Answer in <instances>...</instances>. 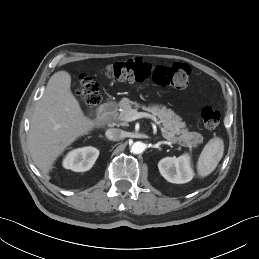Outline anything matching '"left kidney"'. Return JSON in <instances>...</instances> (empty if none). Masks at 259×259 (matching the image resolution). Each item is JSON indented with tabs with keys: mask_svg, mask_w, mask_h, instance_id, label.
<instances>
[{
	"mask_svg": "<svg viewBox=\"0 0 259 259\" xmlns=\"http://www.w3.org/2000/svg\"><path fill=\"white\" fill-rule=\"evenodd\" d=\"M158 168L167 181L175 184L187 183L194 176L189 154L181 155L178 158L165 157L159 161Z\"/></svg>",
	"mask_w": 259,
	"mask_h": 259,
	"instance_id": "1",
	"label": "left kidney"
}]
</instances>
